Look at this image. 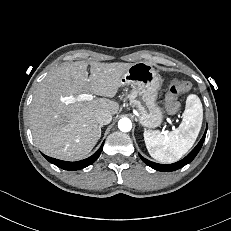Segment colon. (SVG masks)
<instances>
[{"label":"colon","instance_id":"1","mask_svg":"<svg viewBox=\"0 0 231 231\" xmlns=\"http://www.w3.org/2000/svg\"><path fill=\"white\" fill-rule=\"evenodd\" d=\"M191 85L187 81H176L172 80L169 85L166 107L170 112H176L180 105L177 101V95L189 91Z\"/></svg>","mask_w":231,"mask_h":231}]
</instances>
